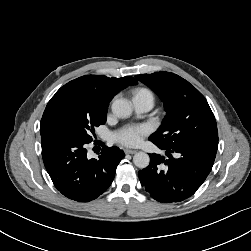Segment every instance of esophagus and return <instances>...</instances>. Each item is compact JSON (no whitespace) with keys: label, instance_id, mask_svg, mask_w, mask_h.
I'll return each instance as SVG.
<instances>
[{"label":"esophagus","instance_id":"34e87169","mask_svg":"<svg viewBox=\"0 0 251 251\" xmlns=\"http://www.w3.org/2000/svg\"><path fill=\"white\" fill-rule=\"evenodd\" d=\"M136 152L137 150H134V149H125L126 154H135Z\"/></svg>","mask_w":251,"mask_h":251}]
</instances>
